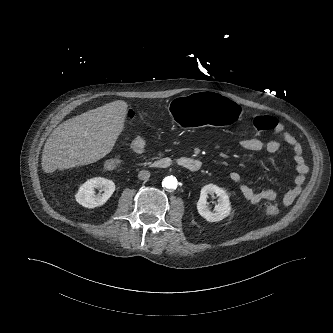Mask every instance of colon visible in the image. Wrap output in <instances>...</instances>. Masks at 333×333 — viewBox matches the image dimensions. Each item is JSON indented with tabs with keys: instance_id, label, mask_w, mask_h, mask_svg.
Returning a JSON list of instances; mask_svg holds the SVG:
<instances>
[{
	"instance_id": "5ec220e1",
	"label": "colon",
	"mask_w": 333,
	"mask_h": 333,
	"mask_svg": "<svg viewBox=\"0 0 333 333\" xmlns=\"http://www.w3.org/2000/svg\"><path fill=\"white\" fill-rule=\"evenodd\" d=\"M135 113L133 111L129 112V117L133 118ZM276 119L269 115H259L252 119L251 125L256 133L260 134L271 129H274L276 126ZM121 166V159L112 156L107 158L102 165V168L107 171H114L119 169ZM279 213V206L276 202L269 203L264 207V214L267 216H276Z\"/></svg>"
}]
</instances>
